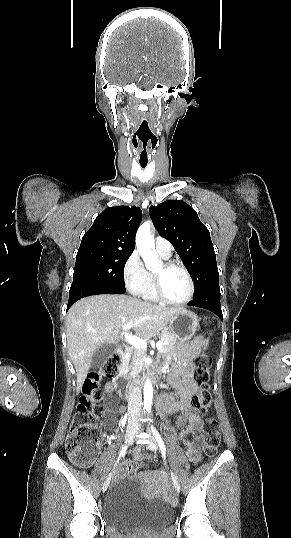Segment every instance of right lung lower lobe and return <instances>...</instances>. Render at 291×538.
Returning a JSON list of instances; mask_svg holds the SVG:
<instances>
[{"label": "right lung lower lobe", "instance_id": "obj_1", "mask_svg": "<svg viewBox=\"0 0 291 538\" xmlns=\"http://www.w3.org/2000/svg\"><path fill=\"white\" fill-rule=\"evenodd\" d=\"M125 291L115 290V289H106V288H84L74 290L69 293V300L67 305V310L79 299L98 294H124Z\"/></svg>", "mask_w": 291, "mask_h": 538}]
</instances>
